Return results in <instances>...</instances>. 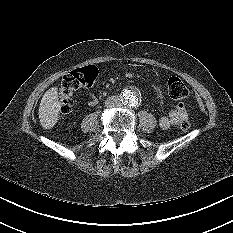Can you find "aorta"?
<instances>
[{"instance_id": "1", "label": "aorta", "mask_w": 233, "mask_h": 233, "mask_svg": "<svg viewBox=\"0 0 233 233\" xmlns=\"http://www.w3.org/2000/svg\"><path fill=\"white\" fill-rule=\"evenodd\" d=\"M124 103L130 107H135L139 103V91L136 88L126 89L122 93Z\"/></svg>"}]
</instances>
